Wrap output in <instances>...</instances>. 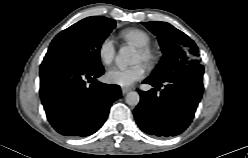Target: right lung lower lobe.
Instances as JSON below:
<instances>
[{
    "mask_svg": "<svg viewBox=\"0 0 248 158\" xmlns=\"http://www.w3.org/2000/svg\"><path fill=\"white\" fill-rule=\"evenodd\" d=\"M103 73L102 65L42 62L40 96L46 116L58 133L84 137L101 128L111 104L121 96L118 85L97 80Z\"/></svg>",
    "mask_w": 248,
    "mask_h": 158,
    "instance_id": "98d812e1",
    "label": "right lung lower lobe"
}]
</instances>
